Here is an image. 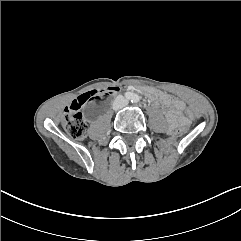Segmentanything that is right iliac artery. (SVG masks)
Masks as SVG:
<instances>
[{"label":"right iliac artery","instance_id":"1","mask_svg":"<svg viewBox=\"0 0 241 241\" xmlns=\"http://www.w3.org/2000/svg\"><path fill=\"white\" fill-rule=\"evenodd\" d=\"M125 97H126V99L130 100L133 98V94L130 92H127V93H125Z\"/></svg>","mask_w":241,"mask_h":241}]
</instances>
